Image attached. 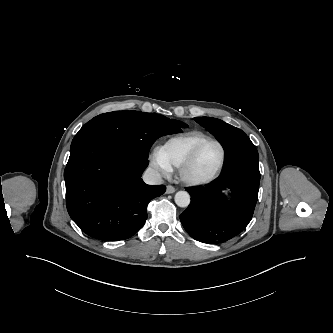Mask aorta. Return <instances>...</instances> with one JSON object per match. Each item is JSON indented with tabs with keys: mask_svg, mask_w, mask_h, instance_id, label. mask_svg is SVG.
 Here are the masks:
<instances>
[{
	"mask_svg": "<svg viewBox=\"0 0 333 333\" xmlns=\"http://www.w3.org/2000/svg\"><path fill=\"white\" fill-rule=\"evenodd\" d=\"M174 200L179 207H187L190 204V195L186 191H178Z\"/></svg>",
	"mask_w": 333,
	"mask_h": 333,
	"instance_id": "762f6f07",
	"label": "aorta"
}]
</instances>
